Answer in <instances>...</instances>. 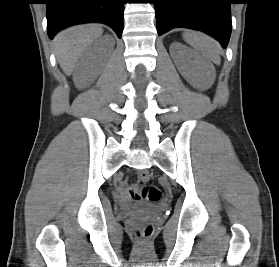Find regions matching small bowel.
Wrapping results in <instances>:
<instances>
[{"label": "small bowel", "mask_w": 279, "mask_h": 267, "mask_svg": "<svg viewBox=\"0 0 279 267\" xmlns=\"http://www.w3.org/2000/svg\"><path fill=\"white\" fill-rule=\"evenodd\" d=\"M135 188L131 187H127L125 184H121L119 186V192L122 195V197L124 199H134V201H140V196H139V192H134Z\"/></svg>", "instance_id": "c3829d8e"}]
</instances>
